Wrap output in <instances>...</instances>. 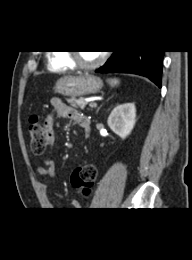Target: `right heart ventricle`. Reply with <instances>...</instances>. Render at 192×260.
Returning <instances> with one entry per match:
<instances>
[{
  "label": "right heart ventricle",
  "mask_w": 192,
  "mask_h": 260,
  "mask_svg": "<svg viewBox=\"0 0 192 260\" xmlns=\"http://www.w3.org/2000/svg\"><path fill=\"white\" fill-rule=\"evenodd\" d=\"M48 67L51 71L65 72L74 70L75 66L70 61L68 54L65 51H57L49 55Z\"/></svg>",
  "instance_id": "1"
}]
</instances>
